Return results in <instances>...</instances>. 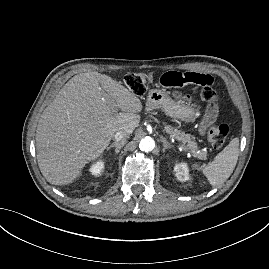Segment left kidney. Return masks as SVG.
Masks as SVG:
<instances>
[{
    "mask_svg": "<svg viewBox=\"0 0 269 269\" xmlns=\"http://www.w3.org/2000/svg\"><path fill=\"white\" fill-rule=\"evenodd\" d=\"M174 172L177 179L181 182H185L190 179L189 167L186 163L176 164L174 166Z\"/></svg>",
    "mask_w": 269,
    "mask_h": 269,
    "instance_id": "left-kidney-1",
    "label": "left kidney"
}]
</instances>
